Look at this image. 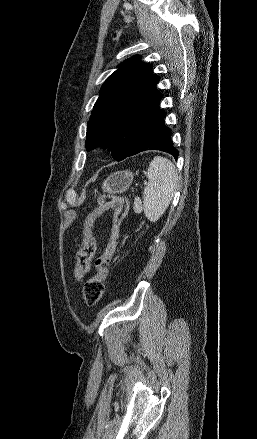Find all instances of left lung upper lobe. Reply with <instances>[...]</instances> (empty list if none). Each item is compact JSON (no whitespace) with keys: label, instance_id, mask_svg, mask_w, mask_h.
I'll return each instance as SVG.
<instances>
[{"label":"left lung upper lobe","instance_id":"5c2ea615","mask_svg":"<svg viewBox=\"0 0 257 439\" xmlns=\"http://www.w3.org/2000/svg\"><path fill=\"white\" fill-rule=\"evenodd\" d=\"M140 58L125 60L102 85L87 125V150L103 145L120 161L135 146L144 122L162 98L155 88L159 77Z\"/></svg>","mask_w":257,"mask_h":439}]
</instances>
